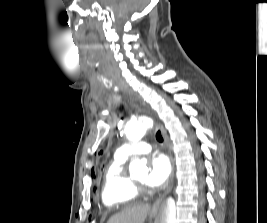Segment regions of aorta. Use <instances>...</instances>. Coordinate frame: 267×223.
I'll list each match as a JSON object with an SVG mask.
<instances>
[{
	"label": "aorta",
	"instance_id": "aorta-1",
	"mask_svg": "<svg viewBox=\"0 0 267 223\" xmlns=\"http://www.w3.org/2000/svg\"><path fill=\"white\" fill-rule=\"evenodd\" d=\"M151 126L149 119H143L134 122H128L125 127L126 137L136 143L142 139L146 131ZM129 170L131 174L137 175L142 172H148L146 162L143 160H133L130 163ZM176 220V203L172 197H168L161 203L156 223H175Z\"/></svg>",
	"mask_w": 267,
	"mask_h": 223
}]
</instances>
